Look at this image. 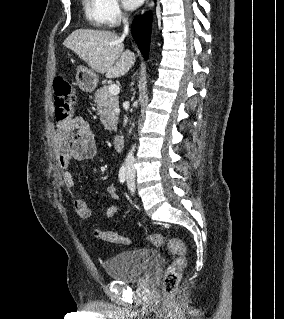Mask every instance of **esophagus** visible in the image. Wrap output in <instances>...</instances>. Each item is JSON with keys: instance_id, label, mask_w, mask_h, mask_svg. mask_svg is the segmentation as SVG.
<instances>
[{"instance_id": "esophagus-1", "label": "esophagus", "mask_w": 284, "mask_h": 319, "mask_svg": "<svg viewBox=\"0 0 284 319\" xmlns=\"http://www.w3.org/2000/svg\"><path fill=\"white\" fill-rule=\"evenodd\" d=\"M148 1H149V0H146V5H145V7H144V9H143L142 12H144V10L146 9V6H147V4H148Z\"/></svg>"}]
</instances>
